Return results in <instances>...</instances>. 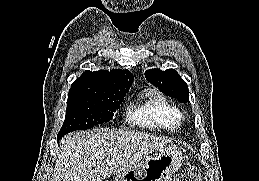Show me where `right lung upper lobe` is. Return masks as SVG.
I'll use <instances>...</instances> for the list:
<instances>
[{"mask_svg": "<svg viewBox=\"0 0 259 181\" xmlns=\"http://www.w3.org/2000/svg\"><path fill=\"white\" fill-rule=\"evenodd\" d=\"M132 81L133 76L128 70H87L72 83L69 93L125 96Z\"/></svg>", "mask_w": 259, "mask_h": 181, "instance_id": "obj_1", "label": "right lung upper lobe"}]
</instances>
